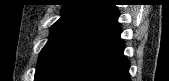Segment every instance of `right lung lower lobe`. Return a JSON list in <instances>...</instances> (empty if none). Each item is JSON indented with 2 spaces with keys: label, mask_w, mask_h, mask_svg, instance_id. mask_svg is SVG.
Segmentation results:
<instances>
[{
  "label": "right lung lower lobe",
  "mask_w": 169,
  "mask_h": 81,
  "mask_svg": "<svg viewBox=\"0 0 169 81\" xmlns=\"http://www.w3.org/2000/svg\"><path fill=\"white\" fill-rule=\"evenodd\" d=\"M115 10L73 32L35 73L34 81H130V63Z\"/></svg>",
  "instance_id": "98d812e1"
}]
</instances>
